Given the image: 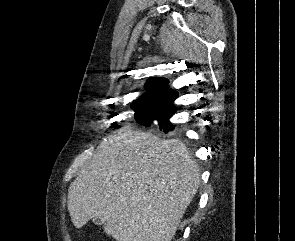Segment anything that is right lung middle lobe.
Returning <instances> with one entry per match:
<instances>
[{
    "instance_id": "right-lung-middle-lobe-1",
    "label": "right lung middle lobe",
    "mask_w": 295,
    "mask_h": 241,
    "mask_svg": "<svg viewBox=\"0 0 295 241\" xmlns=\"http://www.w3.org/2000/svg\"><path fill=\"white\" fill-rule=\"evenodd\" d=\"M131 108L134 109V112H135L134 117L136 121L141 125L149 126L154 119H157L158 121H163L169 118L165 114L147 112V111L135 108L133 106H131ZM114 126H118V124H115L114 122Z\"/></svg>"
}]
</instances>
